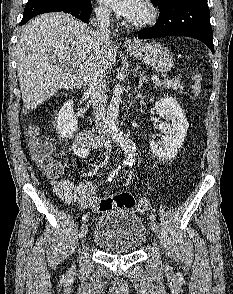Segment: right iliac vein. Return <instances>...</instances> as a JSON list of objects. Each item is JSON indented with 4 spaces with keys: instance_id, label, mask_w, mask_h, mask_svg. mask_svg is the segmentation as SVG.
Instances as JSON below:
<instances>
[{
    "instance_id": "63e3f726",
    "label": "right iliac vein",
    "mask_w": 233,
    "mask_h": 294,
    "mask_svg": "<svg viewBox=\"0 0 233 294\" xmlns=\"http://www.w3.org/2000/svg\"><path fill=\"white\" fill-rule=\"evenodd\" d=\"M88 232V225L86 222H83L81 227H80V231H79V238L83 239L85 237V235Z\"/></svg>"
}]
</instances>
